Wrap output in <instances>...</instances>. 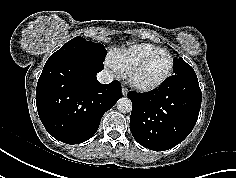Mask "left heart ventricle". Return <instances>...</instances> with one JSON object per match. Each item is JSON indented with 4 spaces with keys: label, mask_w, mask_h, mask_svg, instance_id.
<instances>
[{
    "label": "left heart ventricle",
    "mask_w": 236,
    "mask_h": 178,
    "mask_svg": "<svg viewBox=\"0 0 236 178\" xmlns=\"http://www.w3.org/2000/svg\"><path fill=\"white\" fill-rule=\"evenodd\" d=\"M169 65L170 59L167 55H158L145 62L136 76L143 82H155L167 72Z\"/></svg>",
    "instance_id": "left-heart-ventricle-1"
}]
</instances>
